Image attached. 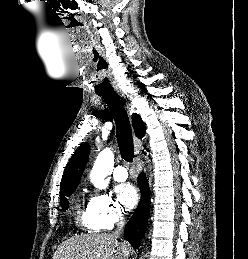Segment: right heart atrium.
Returning <instances> with one entry per match:
<instances>
[{
  "mask_svg": "<svg viewBox=\"0 0 248 259\" xmlns=\"http://www.w3.org/2000/svg\"><path fill=\"white\" fill-rule=\"evenodd\" d=\"M88 207L97 229H110L123 220V211L110 194H94Z\"/></svg>",
  "mask_w": 248,
  "mask_h": 259,
  "instance_id": "1",
  "label": "right heart atrium"
}]
</instances>
